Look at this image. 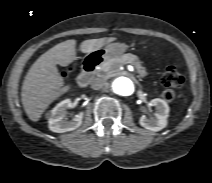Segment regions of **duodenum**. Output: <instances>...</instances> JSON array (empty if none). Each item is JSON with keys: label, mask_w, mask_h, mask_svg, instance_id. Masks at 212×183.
Listing matches in <instances>:
<instances>
[{"label": "duodenum", "mask_w": 212, "mask_h": 183, "mask_svg": "<svg viewBox=\"0 0 212 183\" xmlns=\"http://www.w3.org/2000/svg\"><path fill=\"white\" fill-rule=\"evenodd\" d=\"M100 62L101 58L98 56L90 55L85 58L82 64V71L77 80L79 86L85 87L89 84L92 74Z\"/></svg>", "instance_id": "410a0bca"}]
</instances>
